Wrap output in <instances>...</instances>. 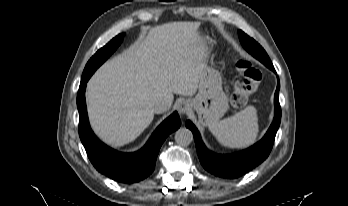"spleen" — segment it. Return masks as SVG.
<instances>
[{"mask_svg":"<svg viewBox=\"0 0 348 206\" xmlns=\"http://www.w3.org/2000/svg\"><path fill=\"white\" fill-rule=\"evenodd\" d=\"M211 132L226 147L248 148L256 142L259 132L257 111L249 108L230 121L213 126Z\"/></svg>","mask_w":348,"mask_h":206,"instance_id":"obj_1","label":"spleen"}]
</instances>
